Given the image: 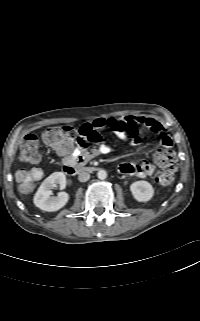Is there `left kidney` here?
Here are the masks:
<instances>
[{
  "mask_svg": "<svg viewBox=\"0 0 200 321\" xmlns=\"http://www.w3.org/2000/svg\"><path fill=\"white\" fill-rule=\"evenodd\" d=\"M130 190L133 197L139 202H147L154 196V188L144 180L132 183Z\"/></svg>",
  "mask_w": 200,
  "mask_h": 321,
  "instance_id": "5707ae66",
  "label": "left kidney"
}]
</instances>
